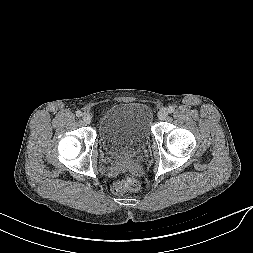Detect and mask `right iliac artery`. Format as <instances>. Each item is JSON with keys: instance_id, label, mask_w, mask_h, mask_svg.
<instances>
[{"instance_id": "82829eb1", "label": "right iliac artery", "mask_w": 253, "mask_h": 253, "mask_svg": "<svg viewBox=\"0 0 253 253\" xmlns=\"http://www.w3.org/2000/svg\"><path fill=\"white\" fill-rule=\"evenodd\" d=\"M76 116L77 117H81L82 116V112L80 110L76 111Z\"/></svg>"}]
</instances>
